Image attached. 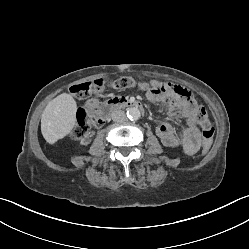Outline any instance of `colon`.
<instances>
[{"instance_id":"1","label":"colon","mask_w":249,"mask_h":249,"mask_svg":"<svg viewBox=\"0 0 249 249\" xmlns=\"http://www.w3.org/2000/svg\"><path fill=\"white\" fill-rule=\"evenodd\" d=\"M105 87L115 89H127L138 87L143 90L152 91L151 84L144 81H137L132 77H120L118 79L105 82L103 80L87 81L76 83L70 87V93L78 99H84L97 94ZM195 120L202 133V152L206 153L210 148L214 136V127L204 107H200ZM99 121V105L95 100H89L84 107L77 112V124L72 132V137L76 140L84 139L92 126Z\"/></svg>"}]
</instances>
